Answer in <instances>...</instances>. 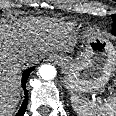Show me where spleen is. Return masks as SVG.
<instances>
[{
    "label": "spleen",
    "mask_w": 116,
    "mask_h": 116,
    "mask_svg": "<svg viewBox=\"0 0 116 116\" xmlns=\"http://www.w3.org/2000/svg\"><path fill=\"white\" fill-rule=\"evenodd\" d=\"M70 100L74 111L79 116H116V95L108 97L106 102L101 105L79 98L74 94L71 95Z\"/></svg>",
    "instance_id": "obj_1"
}]
</instances>
